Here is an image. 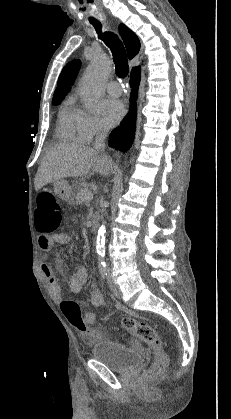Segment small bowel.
I'll list each match as a JSON object with an SVG mask.
<instances>
[{
  "instance_id": "small-bowel-1",
  "label": "small bowel",
  "mask_w": 231,
  "mask_h": 419,
  "mask_svg": "<svg viewBox=\"0 0 231 419\" xmlns=\"http://www.w3.org/2000/svg\"><path fill=\"white\" fill-rule=\"evenodd\" d=\"M68 243H70V237L66 233H56L52 236L40 235L38 237V245L40 249L45 253L51 251L56 244L64 245ZM41 270L47 281L48 289L52 299L56 303L61 304L63 302L62 291L56 275L57 272H61V266L58 263L48 264L44 262L42 264ZM87 279V268L84 265L78 266L76 271L68 279L69 290L73 294H78L87 282ZM90 301L92 306L95 308H100L105 303L103 294L97 289L92 291ZM84 319L87 324H94L96 322V314L89 311L85 312ZM102 336V332L96 331L95 339Z\"/></svg>"
}]
</instances>
